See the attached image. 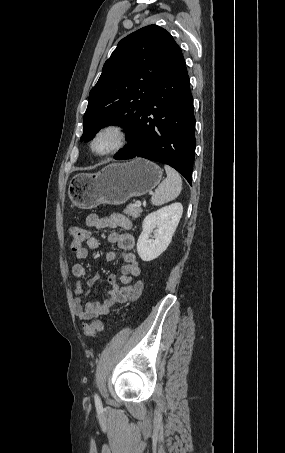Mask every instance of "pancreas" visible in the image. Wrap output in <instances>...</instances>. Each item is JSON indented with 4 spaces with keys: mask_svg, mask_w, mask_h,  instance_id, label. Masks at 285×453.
Wrapping results in <instances>:
<instances>
[{
    "mask_svg": "<svg viewBox=\"0 0 285 453\" xmlns=\"http://www.w3.org/2000/svg\"><path fill=\"white\" fill-rule=\"evenodd\" d=\"M142 213V209L140 207H136L134 204H130L124 210V214H126L129 218L136 219Z\"/></svg>",
    "mask_w": 285,
    "mask_h": 453,
    "instance_id": "cf45deb5",
    "label": "pancreas"
}]
</instances>
